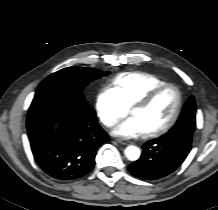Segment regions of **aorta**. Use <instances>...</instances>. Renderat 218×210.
I'll return each instance as SVG.
<instances>
[{"label": "aorta", "instance_id": "obj_1", "mask_svg": "<svg viewBox=\"0 0 218 210\" xmlns=\"http://www.w3.org/2000/svg\"><path fill=\"white\" fill-rule=\"evenodd\" d=\"M124 154L128 160L136 161L139 159V157L141 155V150L134 145H130V146L125 148Z\"/></svg>", "mask_w": 218, "mask_h": 210}]
</instances>
